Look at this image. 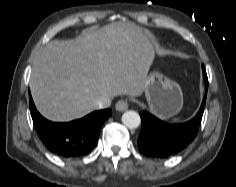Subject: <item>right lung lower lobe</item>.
I'll use <instances>...</instances> for the list:
<instances>
[{
  "label": "right lung lower lobe",
  "mask_w": 236,
  "mask_h": 187,
  "mask_svg": "<svg viewBox=\"0 0 236 187\" xmlns=\"http://www.w3.org/2000/svg\"><path fill=\"white\" fill-rule=\"evenodd\" d=\"M30 112L35 130L43 144L62 158L87 155L97 144L101 127L112 114L110 109L92 112L82 119L68 123H54L36 110L29 93Z\"/></svg>",
  "instance_id": "obj_1"
}]
</instances>
